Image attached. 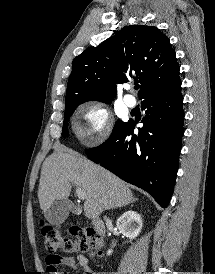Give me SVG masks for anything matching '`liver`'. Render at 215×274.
Returning <instances> with one entry per match:
<instances>
[{"label":"liver","instance_id":"1","mask_svg":"<svg viewBox=\"0 0 215 274\" xmlns=\"http://www.w3.org/2000/svg\"><path fill=\"white\" fill-rule=\"evenodd\" d=\"M71 183L85 191L84 212L89 219L134 201L131 190L117 176L70 149L58 148L42 165L38 189L42 211L56 200L67 199Z\"/></svg>","mask_w":215,"mask_h":274}]
</instances>
